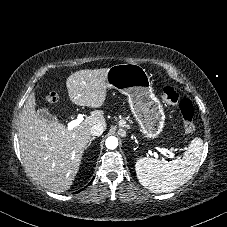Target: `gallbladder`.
<instances>
[{
    "label": "gallbladder",
    "instance_id": "bac80fb5",
    "mask_svg": "<svg viewBox=\"0 0 227 227\" xmlns=\"http://www.w3.org/2000/svg\"><path fill=\"white\" fill-rule=\"evenodd\" d=\"M36 112H37L38 117L41 118V119H46L48 121H56L57 120L56 117L53 116L48 111V109H46V108H40Z\"/></svg>",
    "mask_w": 227,
    "mask_h": 227
}]
</instances>
